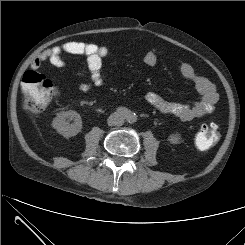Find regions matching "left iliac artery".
I'll return each mask as SVG.
<instances>
[{
	"mask_svg": "<svg viewBox=\"0 0 245 245\" xmlns=\"http://www.w3.org/2000/svg\"><path fill=\"white\" fill-rule=\"evenodd\" d=\"M133 118V116L132 115H130V119H132Z\"/></svg>",
	"mask_w": 245,
	"mask_h": 245,
	"instance_id": "44dca946",
	"label": "left iliac artery"
}]
</instances>
